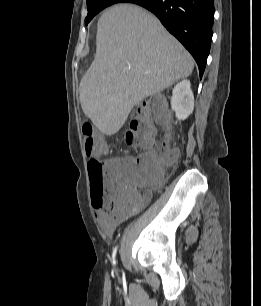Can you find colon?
I'll list each match as a JSON object with an SVG mask.
<instances>
[{
    "label": "colon",
    "instance_id": "obj_1",
    "mask_svg": "<svg viewBox=\"0 0 261 306\" xmlns=\"http://www.w3.org/2000/svg\"><path fill=\"white\" fill-rule=\"evenodd\" d=\"M155 124L164 127L170 124L159 96L150 98L138 109L125 136L129 145L146 153L109 165L93 156L104 151V145L95 139L94 128L91 125L83 127L84 150L89 157L87 167L96 209L113 212L118 205L129 201L135 185L160 183L164 174L162 164L174 162L177 153L169 147L167 140L155 145Z\"/></svg>",
    "mask_w": 261,
    "mask_h": 306
}]
</instances>
